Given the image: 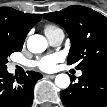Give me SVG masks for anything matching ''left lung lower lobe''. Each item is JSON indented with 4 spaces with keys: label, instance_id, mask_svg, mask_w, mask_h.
Masks as SVG:
<instances>
[{
    "label": "left lung lower lobe",
    "instance_id": "0a47b994",
    "mask_svg": "<svg viewBox=\"0 0 107 107\" xmlns=\"http://www.w3.org/2000/svg\"><path fill=\"white\" fill-rule=\"evenodd\" d=\"M66 107H106L107 69L82 70L79 82L60 92Z\"/></svg>",
    "mask_w": 107,
    "mask_h": 107
}]
</instances>
